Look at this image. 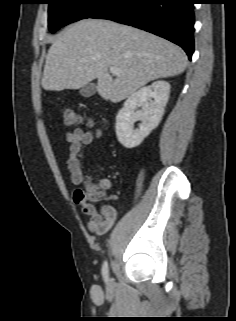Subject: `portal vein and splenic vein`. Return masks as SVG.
I'll return each mask as SVG.
<instances>
[{
    "instance_id": "18ae733b",
    "label": "portal vein and splenic vein",
    "mask_w": 236,
    "mask_h": 321,
    "mask_svg": "<svg viewBox=\"0 0 236 321\" xmlns=\"http://www.w3.org/2000/svg\"><path fill=\"white\" fill-rule=\"evenodd\" d=\"M109 71L113 75H119L120 73H122V70L117 67H110Z\"/></svg>"
}]
</instances>
